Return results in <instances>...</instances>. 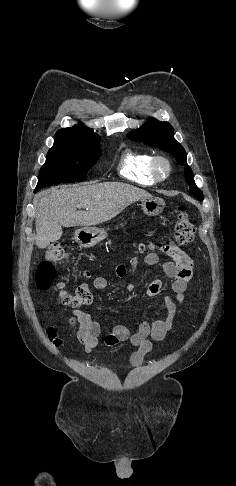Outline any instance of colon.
I'll return each mask as SVG.
<instances>
[{
	"mask_svg": "<svg viewBox=\"0 0 236 486\" xmlns=\"http://www.w3.org/2000/svg\"><path fill=\"white\" fill-rule=\"evenodd\" d=\"M195 235V226L189 215L180 210L174 227L173 243L178 246L189 244ZM66 251L57 243L49 245L45 251V259L39 264L36 273V285L41 290L48 289L56 276V264L66 259ZM61 303L69 308H79L91 303L92 294L89 286L85 283L80 284L74 293L61 291ZM50 338L55 337L54 330L48 331Z\"/></svg>",
	"mask_w": 236,
	"mask_h": 486,
	"instance_id": "5ec220e1",
	"label": "colon"
}]
</instances>
